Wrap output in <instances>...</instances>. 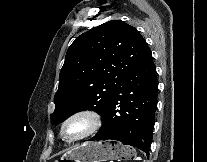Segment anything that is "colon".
Listing matches in <instances>:
<instances>
[{"mask_svg": "<svg viewBox=\"0 0 207 162\" xmlns=\"http://www.w3.org/2000/svg\"><path fill=\"white\" fill-rule=\"evenodd\" d=\"M58 162H69V161H66V160H61V161H58Z\"/></svg>", "mask_w": 207, "mask_h": 162, "instance_id": "5ec220e1", "label": "colon"}]
</instances>
